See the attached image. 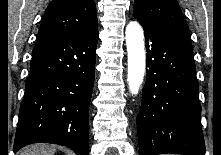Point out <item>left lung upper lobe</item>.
<instances>
[{
	"mask_svg": "<svg viewBox=\"0 0 221 155\" xmlns=\"http://www.w3.org/2000/svg\"><path fill=\"white\" fill-rule=\"evenodd\" d=\"M134 13L190 38L188 25L176 0H135Z\"/></svg>",
	"mask_w": 221,
	"mask_h": 155,
	"instance_id": "5c2ea615",
	"label": "left lung upper lobe"
}]
</instances>
